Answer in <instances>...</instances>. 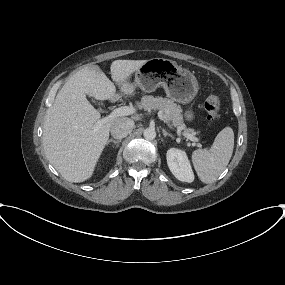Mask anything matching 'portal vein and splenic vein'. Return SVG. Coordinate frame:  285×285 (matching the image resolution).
<instances>
[{
  "label": "portal vein and splenic vein",
  "instance_id": "portal-vein-and-splenic-vein-1",
  "mask_svg": "<svg viewBox=\"0 0 285 285\" xmlns=\"http://www.w3.org/2000/svg\"><path fill=\"white\" fill-rule=\"evenodd\" d=\"M134 112H135V108L129 107V106H122V107L114 109L111 112L110 116L108 118H105V119L111 120V119L119 117V116H127L130 114H133ZM162 119L166 124H168V126L170 128H172V126L169 124L167 119H165L164 117H162ZM176 133L178 136H184L193 142H199L200 141L197 137L193 136L192 134L182 133L181 130H179V129L176 131Z\"/></svg>",
  "mask_w": 285,
  "mask_h": 285
}]
</instances>
